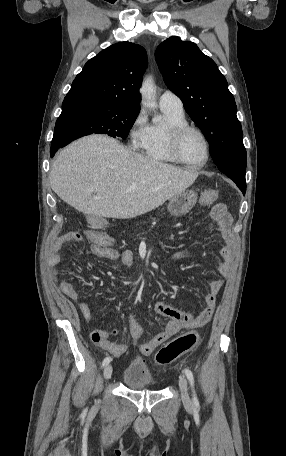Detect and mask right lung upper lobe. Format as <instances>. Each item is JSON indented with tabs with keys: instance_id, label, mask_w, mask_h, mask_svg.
I'll use <instances>...</instances> for the list:
<instances>
[{
	"instance_id": "right-lung-upper-lobe-1",
	"label": "right lung upper lobe",
	"mask_w": 286,
	"mask_h": 456,
	"mask_svg": "<svg viewBox=\"0 0 286 456\" xmlns=\"http://www.w3.org/2000/svg\"><path fill=\"white\" fill-rule=\"evenodd\" d=\"M147 63L143 47L114 44L85 64L64 100L88 98L140 108L139 86Z\"/></svg>"
}]
</instances>
